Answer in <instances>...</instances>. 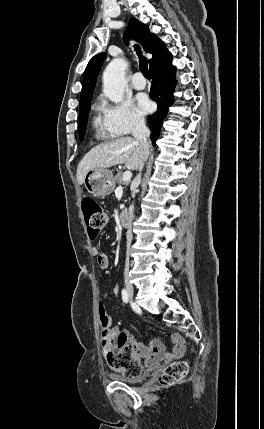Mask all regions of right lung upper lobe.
Masks as SVG:
<instances>
[{
	"label": "right lung upper lobe",
	"mask_w": 264,
	"mask_h": 429,
	"mask_svg": "<svg viewBox=\"0 0 264 429\" xmlns=\"http://www.w3.org/2000/svg\"><path fill=\"white\" fill-rule=\"evenodd\" d=\"M129 36L134 37L146 52L153 55L152 59L149 60L150 67L168 51L164 42L152 34L145 24L135 18L130 19L129 26L125 32V38L127 39ZM105 57L106 53L97 54L88 63L83 77L80 106L91 103L96 78Z\"/></svg>",
	"instance_id": "cb5924a9"
}]
</instances>
